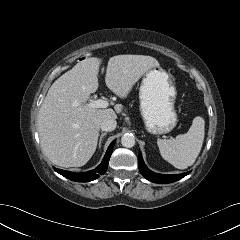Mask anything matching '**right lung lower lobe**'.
I'll return each mask as SVG.
<instances>
[{
  "label": "right lung lower lobe",
  "instance_id": "right-lung-lower-lobe-1",
  "mask_svg": "<svg viewBox=\"0 0 240 240\" xmlns=\"http://www.w3.org/2000/svg\"><path fill=\"white\" fill-rule=\"evenodd\" d=\"M114 143H115V141H113L110 144V146L108 147L107 152L103 158L102 163L94 170L84 172V173H73V172L65 171V170H61V169H56V168H54V169L56 172H58L62 176L66 177L70 180L76 181V182H89V181L95 180L98 177H100V175H102L106 172V170L108 168L109 159H110V156L113 151Z\"/></svg>",
  "mask_w": 240,
  "mask_h": 240
}]
</instances>
